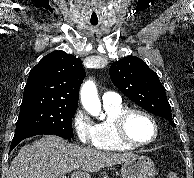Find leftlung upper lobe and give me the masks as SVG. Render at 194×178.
<instances>
[{"label": "left lung upper lobe", "instance_id": "obj_1", "mask_svg": "<svg viewBox=\"0 0 194 178\" xmlns=\"http://www.w3.org/2000/svg\"><path fill=\"white\" fill-rule=\"evenodd\" d=\"M109 72L113 84L125 96L175 127L165 88L143 60L135 56L123 58L113 63Z\"/></svg>", "mask_w": 194, "mask_h": 178}]
</instances>
